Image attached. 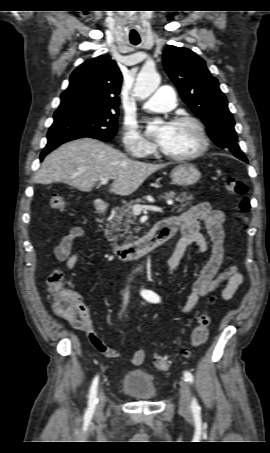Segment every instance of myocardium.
<instances>
[{
    "label": "myocardium",
    "mask_w": 270,
    "mask_h": 453,
    "mask_svg": "<svg viewBox=\"0 0 270 453\" xmlns=\"http://www.w3.org/2000/svg\"><path fill=\"white\" fill-rule=\"evenodd\" d=\"M171 124H190V125H192L195 128V130L197 131V134L199 136L200 146L194 152H191L188 154H183V155L168 154V153L164 152L162 150V148H160V155L164 159L173 161V162L191 161V160H195V159L201 157L208 150L209 139H208L205 127L199 119H197L193 116H188V115L177 116L172 119Z\"/></svg>",
    "instance_id": "f54148a6"
}]
</instances>
